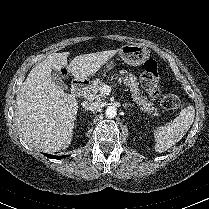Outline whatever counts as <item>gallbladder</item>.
<instances>
[{
	"instance_id": "obj_1",
	"label": "gallbladder",
	"mask_w": 209,
	"mask_h": 209,
	"mask_svg": "<svg viewBox=\"0 0 209 209\" xmlns=\"http://www.w3.org/2000/svg\"><path fill=\"white\" fill-rule=\"evenodd\" d=\"M51 78L53 80V82L60 86L62 89H67V85L63 82L61 76L57 73V72H52L51 73Z\"/></svg>"
}]
</instances>
